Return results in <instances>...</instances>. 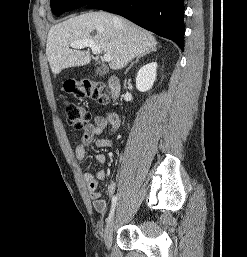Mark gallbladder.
<instances>
[{
    "instance_id": "bac80fb5",
    "label": "gallbladder",
    "mask_w": 247,
    "mask_h": 257,
    "mask_svg": "<svg viewBox=\"0 0 247 257\" xmlns=\"http://www.w3.org/2000/svg\"><path fill=\"white\" fill-rule=\"evenodd\" d=\"M95 72L99 76H104L108 73V69L102 66V67H98Z\"/></svg>"
}]
</instances>
